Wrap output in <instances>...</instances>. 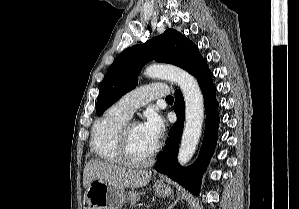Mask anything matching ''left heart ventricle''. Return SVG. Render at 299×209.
<instances>
[{
	"label": "left heart ventricle",
	"instance_id": "obj_1",
	"mask_svg": "<svg viewBox=\"0 0 299 209\" xmlns=\"http://www.w3.org/2000/svg\"><path fill=\"white\" fill-rule=\"evenodd\" d=\"M153 146L141 131L140 125L134 123L129 129V154L134 160H143L148 157Z\"/></svg>",
	"mask_w": 299,
	"mask_h": 209
}]
</instances>
